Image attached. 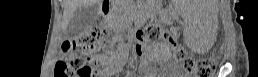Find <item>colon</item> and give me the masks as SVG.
<instances>
[{
    "instance_id": "5ec220e1",
    "label": "colon",
    "mask_w": 258,
    "mask_h": 77,
    "mask_svg": "<svg viewBox=\"0 0 258 77\" xmlns=\"http://www.w3.org/2000/svg\"><path fill=\"white\" fill-rule=\"evenodd\" d=\"M166 42L174 50L175 58L184 63L189 74L194 77H210L216 69V63L211 58H188L185 52L177 46L174 38L157 24L148 25L137 44L143 49L149 44ZM108 48L112 54L123 51L120 40L110 42L100 29H94L88 34L69 42L63 49L62 56L55 65V77H93L98 74L100 51Z\"/></svg>"
}]
</instances>
